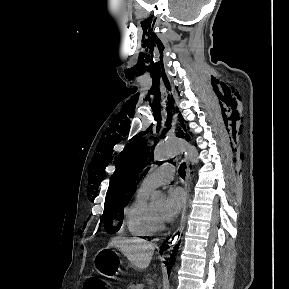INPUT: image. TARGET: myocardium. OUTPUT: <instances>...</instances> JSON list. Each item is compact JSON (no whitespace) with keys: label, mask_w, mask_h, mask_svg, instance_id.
<instances>
[{"label":"myocardium","mask_w":289,"mask_h":289,"mask_svg":"<svg viewBox=\"0 0 289 289\" xmlns=\"http://www.w3.org/2000/svg\"><path fill=\"white\" fill-rule=\"evenodd\" d=\"M149 215H150V218H151L152 223L155 226L156 230H164L165 229L164 222L157 218L151 205H149Z\"/></svg>","instance_id":"1"}]
</instances>
